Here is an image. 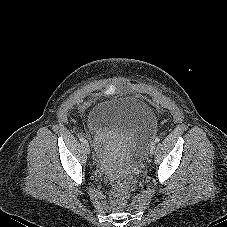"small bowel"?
Masks as SVG:
<instances>
[{"label": "small bowel", "instance_id": "c3829d8e", "mask_svg": "<svg viewBox=\"0 0 227 227\" xmlns=\"http://www.w3.org/2000/svg\"><path fill=\"white\" fill-rule=\"evenodd\" d=\"M116 93V88L114 86H109L105 90V94L112 95Z\"/></svg>", "mask_w": 227, "mask_h": 227}]
</instances>
